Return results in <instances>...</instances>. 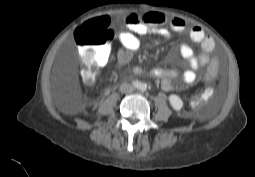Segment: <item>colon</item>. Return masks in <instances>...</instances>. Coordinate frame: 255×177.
<instances>
[{
  "mask_svg": "<svg viewBox=\"0 0 255 177\" xmlns=\"http://www.w3.org/2000/svg\"><path fill=\"white\" fill-rule=\"evenodd\" d=\"M82 31L75 33V40L81 51V58L84 70L82 77L86 82H92L95 73L99 68L96 52L111 45L113 40V32L109 28L108 20L105 18H97L84 23ZM218 68L216 69L217 72ZM214 70H209L207 77L214 76Z\"/></svg>",
  "mask_w": 255,
  "mask_h": 177,
  "instance_id": "colon-1",
  "label": "colon"
}]
</instances>
